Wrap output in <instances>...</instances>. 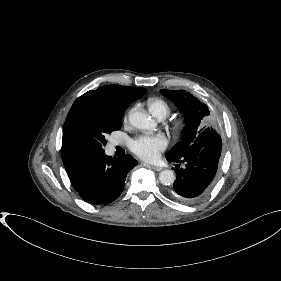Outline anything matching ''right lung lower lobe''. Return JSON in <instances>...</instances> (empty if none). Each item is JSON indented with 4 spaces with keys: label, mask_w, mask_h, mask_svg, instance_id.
I'll list each match as a JSON object with an SVG mask.
<instances>
[{
    "label": "right lung lower lobe",
    "mask_w": 281,
    "mask_h": 281,
    "mask_svg": "<svg viewBox=\"0 0 281 281\" xmlns=\"http://www.w3.org/2000/svg\"><path fill=\"white\" fill-rule=\"evenodd\" d=\"M137 164L129 154L111 158L103 151L86 157L66 171L84 201L108 204L122 193L128 172Z\"/></svg>",
    "instance_id": "98d812e1"
}]
</instances>
